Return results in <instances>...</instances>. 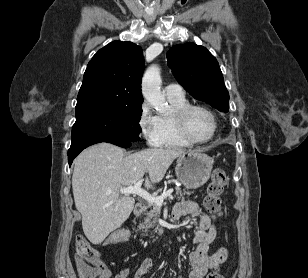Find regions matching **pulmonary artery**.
<instances>
[{
  "mask_svg": "<svg viewBox=\"0 0 308 278\" xmlns=\"http://www.w3.org/2000/svg\"><path fill=\"white\" fill-rule=\"evenodd\" d=\"M164 92L167 97L170 98H181L184 97V91L178 84H169L164 88Z\"/></svg>",
  "mask_w": 308,
  "mask_h": 278,
  "instance_id": "obj_1",
  "label": "pulmonary artery"
}]
</instances>
